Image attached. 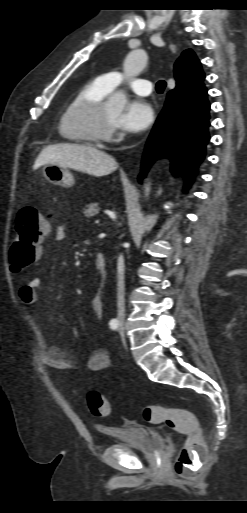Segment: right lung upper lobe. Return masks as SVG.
<instances>
[{
  "label": "right lung upper lobe",
  "mask_w": 247,
  "mask_h": 513,
  "mask_svg": "<svg viewBox=\"0 0 247 513\" xmlns=\"http://www.w3.org/2000/svg\"><path fill=\"white\" fill-rule=\"evenodd\" d=\"M177 81L174 90L191 91L203 83L204 73L199 60L191 49L185 50L174 65Z\"/></svg>",
  "instance_id": "1"
}]
</instances>
